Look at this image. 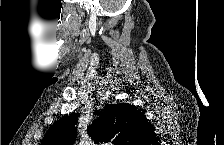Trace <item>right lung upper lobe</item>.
Wrapping results in <instances>:
<instances>
[{
	"mask_svg": "<svg viewBox=\"0 0 224 145\" xmlns=\"http://www.w3.org/2000/svg\"><path fill=\"white\" fill-rule=\"evenodd\" d=\"M98 114L99 118L87 129L96 144L152 145L151 142L156 139L154 129L143 113L130 104H106ZM78 116H65L55 122L41 145H72L77 134L74 125Z\"/></svg>",
	"mask_w": 224,
	"mask_h": 145,
	"instance_id": "right-lung-upper-lobe-1",
	"label": "right lung upper lobe"
}]
</instances>
